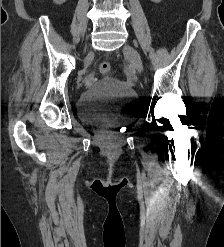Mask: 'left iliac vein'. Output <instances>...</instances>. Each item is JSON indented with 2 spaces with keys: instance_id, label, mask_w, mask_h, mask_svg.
Segmentation results:
<instances>
[{
  "instance_id": "4c4485c4",
  "label": "left iliac vein",
  "mask_w": 224,
  "mask_h": 247,
  "mask_svg": "<svg viewBox=\"0 0 224 247\" xmlns=\"http://www.w3.org/2000/svg\"><path fill=\"white\" fill-rule=\"evenodd\" d=\"M124 54L131 60L132 64L135 66L136 70L139 73L143 72V64L142 60L140 57V54L138 53L137 50H135L133 47L130 45H125L123 48Z\"/></svg>"
}]
</instances>
